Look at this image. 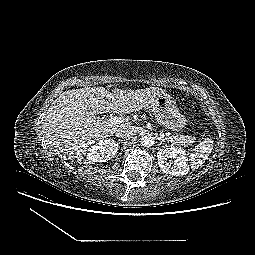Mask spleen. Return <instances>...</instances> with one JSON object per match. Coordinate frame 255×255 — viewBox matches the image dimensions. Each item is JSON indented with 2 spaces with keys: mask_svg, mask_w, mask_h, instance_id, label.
<instances>
[{
  "mask_svg": "<svg viewBox=\"0 0 255 255\" xmlns=\"http://www.w3.org/2000/svg\"><path fill=\"white\" fill-rule=\"evenodd\" d=\"M213 149V140L206 138L199 143L190 153L191 167L197 169L210 155Z\"/></svg>",
  "mask_w": 255,
  "mask_h": 255,
  "instance_id": "1",
  "label": "spleen"
}]
</instances>
